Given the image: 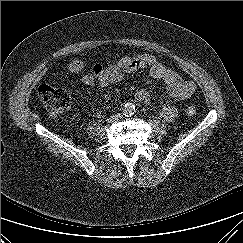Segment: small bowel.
<instances>
[{
    "label": "small bowel",
    "mask_w": 243,
    "mask_h": 243,
    "mask_svg": "<svg viewBox=\"0 0 243 243\" xmlns=\"http://www.w3.org/2000/svg\"><path fill=\"white\" fill-rule=\"evenodd\" d=\"M142 69H148L152 78L163 81L167 96L174 101L185 100L196 90L194 82L185 80L176 71L150 54L125 56L108 66L96 64L92 73L81 77V82L90 88L96 85L106 87L122 80L125 74ZM134 96L141 103L147 104L151 101V95L146 89L137 90ZM160 115L166 122L172 123L176 120L177 110L170 104H163L160 108Z\"/></svg>",
    "instance_id": "obj_1"
}]
</instances>
